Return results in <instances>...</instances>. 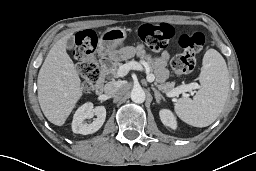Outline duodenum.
Returning <instances> with one entry per match:
<instances>
[{"label": "duodenum", "mask_w": 256, "mask_h": 171, "mask_svg": "<svg viewBox=\"0 0 256 171\" xmlns=\"http://www.w3.org/2000/svg\"><path fill=\"white\" fill-rule=\"evenodd\" d=\"M111 66V61L108 58H101L99 60V68H100V78L95 86L96 94L100 95L104 91L106 73Z\"/></svg>", "instance_id": "1"}]
</instances>
